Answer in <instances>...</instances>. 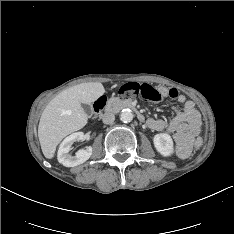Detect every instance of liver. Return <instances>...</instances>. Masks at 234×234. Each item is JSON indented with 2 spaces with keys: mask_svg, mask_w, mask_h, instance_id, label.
<instances>
[{
  "mask_svg": "<svg viewBox=\"0 0 234 234\" xmlns=\"http://www.w3.org/2000/svg\"><path fill=\"white\" fill-rule=\"evenodd\" d=\"M104 93L99 82L81 83L62 91L47 104L38 126V137L46 158H53L64 137L87 124L88 116L81 104L89 105Z\"/></svg>",
  "mask_w": 234,
  "mask_h": 234,
  "instance_id": "6515ba94",
  "label": "liver"
}]
</instances>
